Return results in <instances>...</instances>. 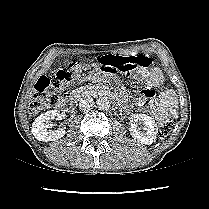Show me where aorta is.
<instances>
[{"instance_id": "aorta-1", "label": "aorta", "mask_w": 209, "mask_h": 209, "mask_svg": "<svg viewBox=\"0 0 209 209\" xmlns=\"http://www.w3.org/2000/svg\"><path fill=\"white\" fill-rule=\"evenodd\" d=\"M98 108L100 110H107L110 107L109 100L107 98H99L96 102Z\"/></svg>"}]
</instances>
